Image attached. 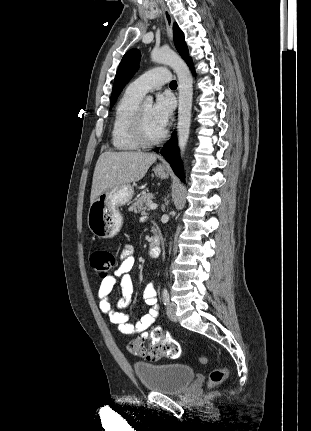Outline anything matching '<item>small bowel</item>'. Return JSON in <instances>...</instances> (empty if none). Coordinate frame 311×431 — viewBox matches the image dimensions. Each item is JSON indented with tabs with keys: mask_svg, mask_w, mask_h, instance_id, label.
<instances>
[{
	"mask_svg": "<svg viewBox=\"0 0 311 431\" xmlns=\"http://www.w3.org/2000/svg\"><path fill=\"white\" fill-rule=\"evenodd\" d=\"M134 263L135 258L133 249L131 246H126L120 255L119 264L112 275L101 281L98 290L99 308L103 313L109 316L110 321L117 326L121 333L125 335L139 333L141 334V337L145 338L156 340L165 339L163 330L159 326L154 327L150 333L146 332V330L155 323L159 315L157 293L155 282L153 280L146 283L143 291L144 301L149 306L148 313L142 316L139 320L130 322L128 314L123 311V309L130 303L133 294V281L129 273L132 270ZM118 279H120L121 298L118 300L116 308H114L110 301V297Z\"/></svg>",
	"mask_w": 311,
	"mask_h": 431,
	"instance_id": "small-bowel-1",
	"label": "small bowel"
}]
</instances>
